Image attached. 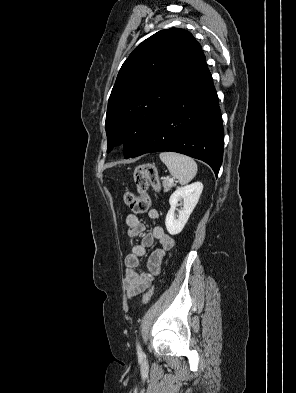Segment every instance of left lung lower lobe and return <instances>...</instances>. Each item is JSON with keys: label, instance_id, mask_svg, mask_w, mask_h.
<instances>
[{"label": "left lung lower lobe", "instance_id": "obj_1", "mask_svg": "<svg viewBox=\"0 0 296 393\" xmlns=\"http://www.w3.org/2000/svg\"><path fill=\"white\" fill-rule=\"evenodd\" d=\"M223 137L218 97L205 63L130 157L156 151L178 152L206 162L217 176L223 158Z\"/></svg>", "mask_w": 296, "mask_h": 393}]
</instances>
